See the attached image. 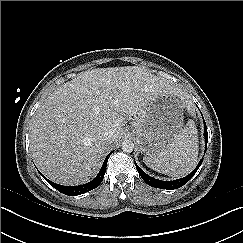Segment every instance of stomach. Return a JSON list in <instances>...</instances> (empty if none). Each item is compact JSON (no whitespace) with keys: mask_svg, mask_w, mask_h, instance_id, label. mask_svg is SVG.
I'll return each mask as SVG.
<instances>
[{"mask_svg":"<svg viewBox=\"0 0 243 243\" xmlns=\"http://www.w3.org/2000/svg\"><path fill=\"white\" fill-rule=\"evenodd\" d=\"M182 126L181 102L171 94H161L132 122V132L140 151L150 156L166 149L182 131Z\"/></svg>","mask_w":243,"mask_h":243,"instance_id":"obj_1","label":"stomach"}]
</instances>
